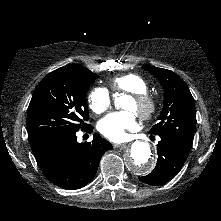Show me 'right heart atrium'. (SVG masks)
<instances>
[{
    "mask_svg": "<svg viewBox=\"0 0 221 221\" xmlns=\"http://www.w3.org/2000/svg\"><path fill=\"white\" fill-rule=\"evenodd\" d=\"M87 102L89 108L96 114H101L109 109L112 103L110 92L101 86L91 89L88 94Z\"/></svg>",
    "mask_w": 221,
    "mask_h": 221,
    "instance_id": "obj_1",
    "label": "right heart atrium"
}]
</instances>
